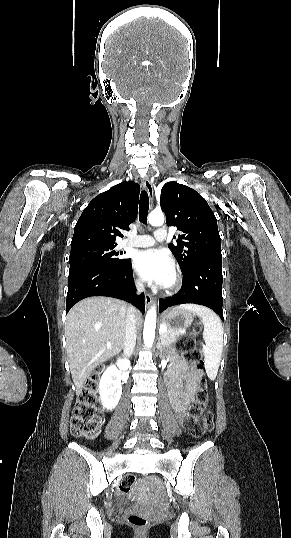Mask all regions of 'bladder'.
<instances>
[{"label":"bladder","instance_id":"bladder-1","mask_svg":"<svg viewBox=\"0 0 291 538\" xmlns=\"http://www.w3.org/2000/svg\"><path fill=\"white\" fill-rule=\"evenodd\" d=\"M117 507H118V508L123 507V504H119V505H117Z\"/></svg>","mask_w":291,"mask_h":538}]
</instances>
